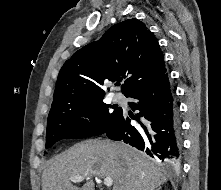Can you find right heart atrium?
I'll use <instances>...</instances> for the list:
<instances>
[{"mask_svg":"<svg viewBox=\"0 0 221 190\" xmlns=\"http://www.w3.org/2000/svg\"><path fill=\"white\" fill-rule=\"evenodd\" d=\"M79 119H80V123L83 126L88 127L93 124L94 115H93L92 111L84 109L80 112Z\"/></svg>","mask_w":221,"mask_h":190,"instance_id":"obj_1","label":"right heart atrium"}]
</instances>
